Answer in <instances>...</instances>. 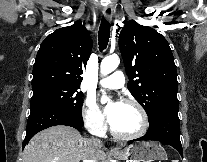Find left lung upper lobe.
<instances>
[{
  "label": "left lung upper lobe",
  "mask_w": 207,
  "mask_h": 162,
  "mask_svg": "<svg viewBox=\"0 0 207 162\" xmlns=\"http://www.w3.org/2000/svg\"><path fill=\"white\" fill-rule=\"evenodd\" d=\"M119 48L128 89L149 120L163 109H178L177 71L167 40L155 29L129 20L120 32Z\"/></svg>",
  "instance_id": "obj_1"
}]
</instances>
